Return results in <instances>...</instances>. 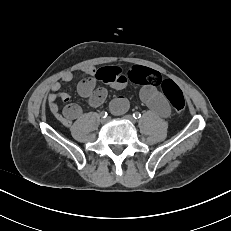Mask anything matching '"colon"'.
<instances>
[{"mask_svg": "<svg viewBox=\"0 0 231 231\" xmlns=\"http://www.w3.org/2000/svg\"><path fill=\"white\" fill-rule=\"evenodd\" d=\"M128 79L141 85L159 86L173 110L177 113L184 111L185 99L180 88L172 80L163 79L157 71L136 66L128 72Z\"/></svg>", "mask_w": 231, "mask_h": 231, "instance_id": "5ec220e1", "label": "colon"}]
</instances>
